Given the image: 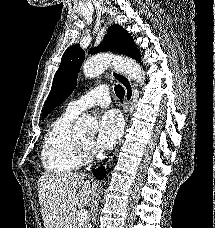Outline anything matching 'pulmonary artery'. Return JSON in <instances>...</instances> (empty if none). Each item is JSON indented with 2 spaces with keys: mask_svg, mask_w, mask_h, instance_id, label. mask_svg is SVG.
<instances>
[{
  "mask_svg": "<svg viewBox=\"0 0 215 228\" xmlns=\"http://www.w3.org/2000/svg\"><path fill=\"white\" fill-rule=\"evenodd\" d=\"M109 84H98L97 88L88 91L79 99L71 101L67 105V111L78 115L93 106L107 107L110 103Z\"/></svg>",
  "mask_w": 215,
  "mask_h": 228,
  "instance_id": "pulmonary-artery-1",
  "label": "pulmonary artery"
}]
</instances>
